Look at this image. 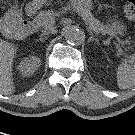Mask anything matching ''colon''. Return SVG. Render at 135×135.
I'll use <instances>...</instances> for the list:
<instances>
[{"label": "colon", "mask_w": 135, "mask_h": 135, "mask_svg": "<svg viewBox=\"0 0 135 135\" xmlns=\"http://www.w3.org/2000/svg\"><path fill=\"white\" fill-rule=\"evenodd\" d=\"M125 16L131 20L135 21V0H127L124 5Z\"/></svg>", "instance_id": "colon-1"}]
</instances>
